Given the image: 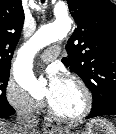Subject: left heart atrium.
I'll return each mask as SVG.
<instances>
[{
	"label": "left heart atrium",
	"mask_w": 116,
	"mask_h": 134,
	"mask_svg": "<svg viewBox=\"0 0 116 134\" xmlns=\"http://www.w3.org/2000/svg\"><path fill=\"white\" fill-rule=\"evenodd\" d=\"M46 77L48 80L47 99L49 103H51L60 94L64 85V80L55 68H49Z\"/></svg>",
	"instance_id": "left-heart-atrium-1"
}]
</instances>
